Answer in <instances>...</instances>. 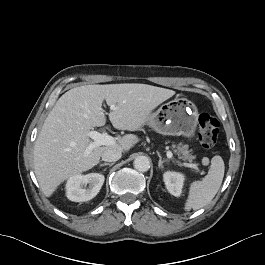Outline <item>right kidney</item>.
<instances>
[{
    "instance_id": "ca27d5eb",
    "label": "right kidney",
    "mask_w": 265,
    "mask_h": 265,
    "mask_svg": "<svg viewBox=\"0 0 265 265\" xmlns=\"http://www.w3.org/2000/svg\"><path fill=\"white\" fill-rule=\"evenodd\" d=\"M104 179V175L99 173L72 176L66 183V196L74 202L91 200L100 191Z\"/></svg>"
}]
</instances>
